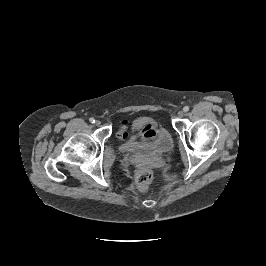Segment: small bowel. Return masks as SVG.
Instances as JSON below:
<instances>
[{
	"instance_id": "small-bowel-1",
	"label": "small bowel",
	"mask_w": 266,
	"mask_h": 266,
	"mask_svg": "<svg viewBox=\"0 0 266 266\" xmlns=\"http://www.w3.org/2000/svg\"><path fill=\"white\" fill-rule=\"evenodd\" d=\"M141 135L145 140H150L154 135V130L152 127L148 126L147 128L141 131ZM118 137L121 139L127 137L126 122H124V125L122 126L121 130L118 132Z\"/></svg>"
}]
</instances>
